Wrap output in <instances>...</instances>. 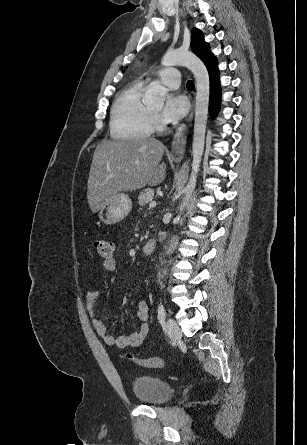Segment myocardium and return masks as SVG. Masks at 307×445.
Returning <instances> with one entry per match:
<instances>
[{
	"mask_svg": "<svg viewBox=\"0 0 307 445\" xmlns=\"http://www.w3.org/2000/svg\"><path fill=\"white\" fill-rule=\"evenodd\" d=\"M150 112V114H151V116L153 117V119H154V121H155V123L156 124H159V114L158 113H154L152 110L151 111H149Z\"/></svg>",
	"mask_w": 307,
	"mask_h": 445,
	"instance_id": "1",
	"label": "myocardium"
}]
</instances>
